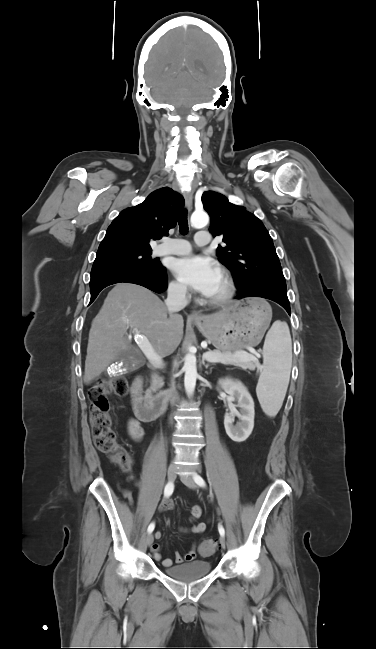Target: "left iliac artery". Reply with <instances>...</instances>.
I'll return each mask as SVG.
<instances>
[{
  "label": "left iliac artery",
  "mask_w": 376,
  "mask_h": 649,
  "mask_svg": "<svg viewBox=\"0 0 376 649\" xmlns=\"http://www.w3.org/2000/svg\"><path fill=\"white\" fill-rule=\"evenodd\" d=\"M193 479L196 482V484H198L200 487H205L206 486V483H205L204 479L200 475L194 474ZM218 530H219L220 535L224 536L225 530H224V528H223V526L221 524H219Z\"/></svg>",
  "instance_id": "left-iliac-artery-1"
}]
</instances>
